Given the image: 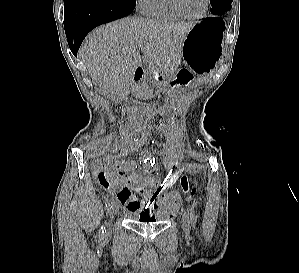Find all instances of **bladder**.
<instances>
[{"label":"bladder","instance_id":"bladder-1","mask_svg":"<svg viewBox=\"0 0 299 273\" xmlns=\"http://www.w3.org/2000/svg\"><path fill=\"white\" fill-rule=\"evenodd\" d=\"M168 213H169L168 210H159V211H156L155 214H154L153 220H151V221H149L147 223L148 224L149 223H152V224L163 223V222H165L168 219ZM126 217L128 219H130L131 221H137V220H139L138 217H137V215L132 214V213H127ZM139 221H141V220H139Z\"/></svg>","mask_w":299,"mask_h":273}]
</instances>
